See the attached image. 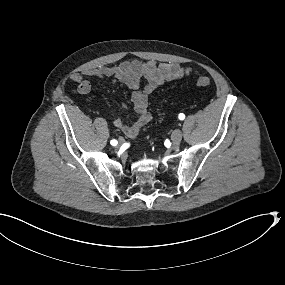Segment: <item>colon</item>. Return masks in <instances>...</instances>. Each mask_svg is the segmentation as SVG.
<instances>
[{
	"label": "colon",
	"instance_id": "obj_1",
	"mask_svg": "<svg viewBox=\"0 0 285 285\" xmlns=\"http://www.w3.org/2000/svg\"><path fill=\"white\" fill-rule=\"evenodd\" d=\"M196 86L198 87H210L212 84V81L208 77H199L196 79L195 82Z\"/></svg>",
	"mask_w": 285,
	"mask_h": 285
}]
</instances>
